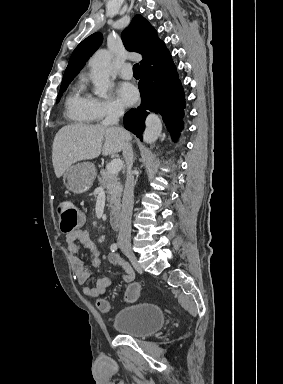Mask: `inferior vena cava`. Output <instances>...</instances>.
<instances>
[{"mask_svg":"<svg viewBox=\"0 0 283 384\" xmlns=\"http://www.w3.org/2000/svg\"><path fill=\"white\" fill-rule=\"evenodd\" d=\"M124 108L120 104H110L107 110V116L103 120V126H118L120 116H123ZM124 136L123 156L127 164V178L125 182L124 194L122 198V212L120 220V230L118 236L119 248H130L131 244V218L134 206V176L131 172L134 158L133 150L130 144L131 136L129 132L119 128Z\"/></svg>","mask_w":283,"mask_h":384,"instance_id":"inferior-vena-cava-1","label":"inferior vena cava"}]
</instances>
